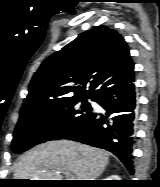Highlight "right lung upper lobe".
I'll list each match as a JSON object with an SVG mask.
<instances>
[{
  "label": "right lung upper lobe",
  "instance_id": "right-lung-upper-lobe-1",
  "mask_svg": "<svg viewBox=\"0 0 160 187\" xmlns=\"http://www.w3.org/2000/svg\"><path fill=\"white\" fill-rule=\"evenodd\" d=\"M132 63L125 40L115 30L101 25L83 32L42 62L21 113L75 98H93Z\"/></svg>",
  "mask_w": 160,
  "mask_h": 187
}]
</instances>
